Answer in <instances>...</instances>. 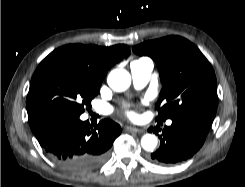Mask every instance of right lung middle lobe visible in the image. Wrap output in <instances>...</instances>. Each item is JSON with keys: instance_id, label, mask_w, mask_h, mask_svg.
Here are the masks:
<instances>
[{"instance_id": "1", "label": "right lung middle lobe", "mask_w": 245, "mask_h": 187, "mask_svg": "<svg viewBox=\"0 0 245 187\" xmlns=\"http://www.w3.org/2000/svg\"><path fill=\"white\" fill-rule=\"evenodd\" d=\"M102 81L76 57L55 50L34 72L27 96L29 124L54 114L81 115Z\"/></svg>"}]
</instances>
